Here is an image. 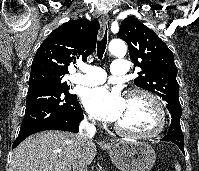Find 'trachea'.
I'll use <instances>...</instances> for the list:
<instances>
[{"label":"trachea","instance_id":"3493384b","mask_svg":"<svg viewBox=\"0 0 199 171\" xmlns=\"http://www.w3.org/2000/svg\"><path fill=\"white\" fill-rule=\"evenodd\" d=\"M106 45H107V28L105 30V34H104L103 38L98 41L97 57L99 59L103 58V55H104V52H105V49H106Z\"/></svg>","mask_w":199,"mask_h":171}]
</instances>
